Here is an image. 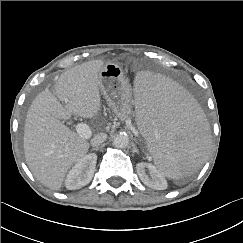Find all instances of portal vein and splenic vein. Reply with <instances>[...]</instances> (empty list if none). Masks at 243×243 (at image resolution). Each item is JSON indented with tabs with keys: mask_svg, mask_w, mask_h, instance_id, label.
Here are the masks:
<instances>
[{
	"mask_svg": "<svg viewBox=\"0 0 243 243\" xmlns=\"http://www.w3.org/2000/svg\"><path fill=\"white\" fill-rule=\"evenodd\" d=\"M76 131L83 138L88 139L91 136V130H90L89 126H87L84 123H78L76 125Z\"/></svg>",
	"mask_w": 243,
	"mask_h": 243,
	"instance_id": "obj_1",
	"label": "portal vein and splenic vein"
}]
</instances>
